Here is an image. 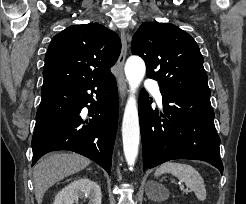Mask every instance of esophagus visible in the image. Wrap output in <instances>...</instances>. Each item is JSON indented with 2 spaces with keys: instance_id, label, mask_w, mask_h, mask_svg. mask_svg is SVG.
<instances>
[{
  "instance_id": "34e87169",
  "label": "esophagus",
  "mask_w": 246,
  "mask_h": 204,
  "mask_svg": "<svg viewBox=\"0 0 246 204\" xmlns=\"http://www.w3.org/2000/svg\"><path fill=\"white\" fill-rule=\"evenodd\" d=\"M120 38H121V52L117 61V68H118L117 84H118L120 96L122 100H124L127 94V84L123 72V66L127 54V35L124 30L121 31Z\"/></svg>"
}]
</instances>
